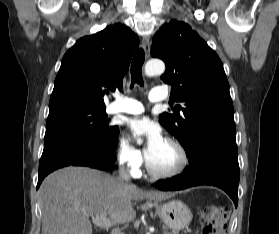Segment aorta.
I'll return each mask as SVG.
<instances>
[{
	"instance_id": "aorta-1",
	"label": "aorta",
	"mask_w": 279,
	"mask_h": 234,
	"mask_svg": "<svg viewBox=\"0 0 279 234\" xmlns=\"http://www.w3.org/2000/svg\"><path fill=\"white\" fill-rule=\"evenodd\" d=\"M165 71V64L158 59L149 60L145 65V74L147 76L160 75Z\"/></svg>"
}]
</instances>
